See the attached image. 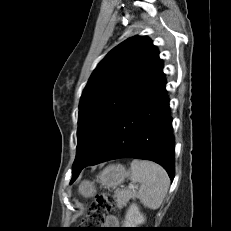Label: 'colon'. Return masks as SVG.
I'll use <instances>...</instances> for the list:
<instances>
[{"mask_svg": "<svg viewBox=\"0 0 231 231\" xmlns=\"http://www.w3.org/2000/svg\"><path fill=\"white\" fill-rule=\"evenodd\" d=\"M114 205L112 196L108 192H103L96 196L83 223L89 227H99L105 222V217Z\"/></svg>", "mask_w": 231, "mask_h": 231, "instance_id": "1", "label": "colon"}]
</instances>
